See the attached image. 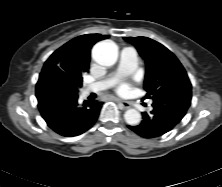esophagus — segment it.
Wrapping results in <instances>:
<instances>
[{
    "mask_svg": "<svg viewBox=\"0 0 222 187\" xmlns=\"http://www.w3.org/2000/svg\"><path fill=\"white\" fill-rule=\"evenodd\" d=\"M118 102H119V105H121L122 108H124V109H128V108L131 107L129 102H126V101H119V100H118Z\"/></svg>",
    "mask_w": 222,
    "mask_h": 187,
    "instance_id": "34e87169",
    "label": "esophagus"
}]
</instances>
